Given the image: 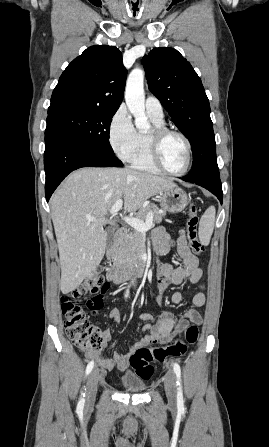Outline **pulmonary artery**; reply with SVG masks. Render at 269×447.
I'll use <instances>...</instances> for the list:
<instances>
[{
  "instance_id": "1",
  "label": "pulmonary artery",
  "mask_w": 269,
  "mask_h": 447,
  "mask_svg": "<svg viewBox=\"0 0 269 447\" xmlns=\"http://www.w3.org/2000/svg\"><path fill=\"white\" fill-rule=\"evenodd\" d=\"M145 109L149 115L155 117L156 119L162 120L164 117L162 104L160 100L153 95H149L146 98Z\"/></svg>"
}]
</instances>
